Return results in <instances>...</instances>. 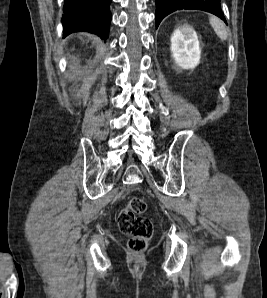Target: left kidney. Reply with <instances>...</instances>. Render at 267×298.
<instances>
[{
  "label": "left kidney",
  "instance_id": "5707ae66",
  "mask_svg": "<svg viewBox=\"0 0 267 298\" xmlns=\"http://www.w3.org/2000/svg\"><path fill=\"white\" fill-rule=\"evenodd\" d=\"M171 52L181 69H194L200 62L201 49L195 30L189 25L177 28L171 36Z\"/></svg>",
  "mask_w": 267,
  "mask_h": 298
}]
</instances>
